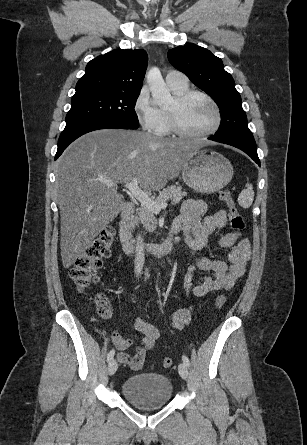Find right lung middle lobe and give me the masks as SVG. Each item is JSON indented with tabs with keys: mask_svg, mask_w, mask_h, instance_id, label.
Returning <instances> with one entry per match:
<instances>
[{
	"mask_svg": "<svg viewBox=\"0 0 307 445\" xmlns=\"http://www.w3.org/2000/svg\"><path fill=\"white\" fill-rule=\"evenodd\" d=\"M139 94H89L71 99V109L66 115V124L85 120H109L138 128L139 122L134 107Z\"/></svg>",
	"mask_w": 307,
	"mask_h": 445,
	"instance_id": "1",
	"label": "right lung middle lobe"
}]
</instances>
